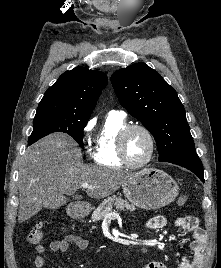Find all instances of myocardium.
I'll return each mask as SVG.
<instances>
[{"label":"myocardium","mask_w":221,"mask_h":268,"mask_svg":"<svg viewBox=\"0 0 221 268\" xmlns=\"http://www.w3.org/2000/svg\"><path fill=\"white\" fill-rule=\"evenodd\" d=\"M133 130L143 131L147 135L150 141V151H149L147 158L143 162L138 163V164L131 162L126 152V139H127L128 134ZM155 151H156V140H155L153 133L147 127L141 124H127L119 131L118 136H117V152H118L120 161L126 167H129L132 169H139V168L146 166L153 159Z\"/></svg>","instance_id":"1"}]
</instances>
